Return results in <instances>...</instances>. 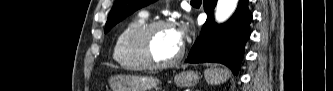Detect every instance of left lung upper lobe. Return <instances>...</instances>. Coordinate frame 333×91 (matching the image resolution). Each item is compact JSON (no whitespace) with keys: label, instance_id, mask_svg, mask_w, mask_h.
<instances>
[{"label":"left lung upper lobe","instance_id":"obj_1","mask_svg":"<svg viewBox=\"0 0 333 91\" xmlns=\"http://www.w3.org/2000/svg\"><path fill=\"white\" fill-rule=\"evenodd\" d=\"M154 1L155 0H115L105 25V33L137 9Z\"/></svg>","mask_w":333,"mask_h":91}]
</instances>
